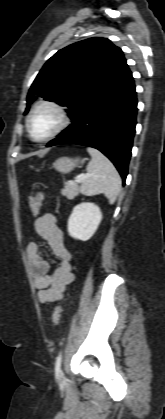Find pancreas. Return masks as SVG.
<instances>
[{"label": "pancreas", "mask_w": 165, "mask_h": 419, "mask_svg": "<svg viewBox=\"0 0 165 419\" xmlns=\"http://www.w3.org/2000/svg\"><path fill=\"white\" fill-rule=\"evenodd\" d=\"M61 194L69 200H72L79 194V186L76 183H67L61 190Z\"/></svg>", "instance_id": "pancreas-1"}]
</instances>
